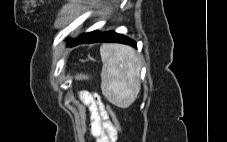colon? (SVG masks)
Returning <instances> with one entry per match:
<instances>
[{"label": "colon", "instance_id": "5ec220e1", "mask_svg": "<svg viewBox=\"0 0 227 142\" xmlns=\"http://www.w3.org/2000/svg\"><path fill=\"white\" fill-rule=\"evenodd\" d=\"M87 77H88V75H86V74H79L78 75V78H81V79L87 78ZM107 111L109 113L110 119H111L112 124H113L114 135L117 137L118 133L120 132L119 122L117 120L115 113L113 112V110L110 107H107Z\"/></svg>", "mask_w": 227, "mask_h": 142}]
</instances>
